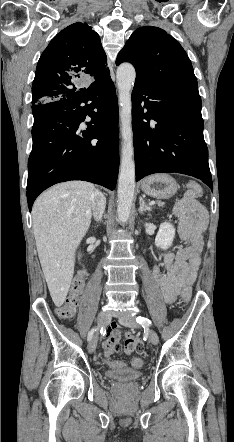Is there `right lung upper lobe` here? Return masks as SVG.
Here are the masks:
<instances>
[{"label":"right lung upper lobe","mask_w":234,"mask_h":442,"mask_svg":"<svg viewBox=\"0 0 234 442\" xmlns=\"http://www.w3.org/2000/svg\"><path fill=\"white\" fill-rule=\"evenodd\" d=\"M99 35L86 23L59 32L42 53L32 85V104L69 99L83 94L81 80L110 76Z\"/></svg>","instance_id":"obj_1"}]
</instances>
